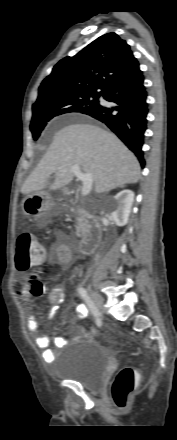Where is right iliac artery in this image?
Listing matches in <instances>:
<instances>
[{"label":"right iliac artery","mask_w":177,"mask_h":440,"mask_svg":"<svg viewBox=\"0 0 177 440\" xmlns=\"http://www.w3.org/2000/svg\"><path fill=\"white\" fill-rule=\"evenodd\" d=\"M78 292H79L80 296L86 302V304H87L89 310L91 311V313L93 314V316L95 317V321H96L97 326L100 327L102 325V321L100 318L101 314H100L99 310L97 309V307L95 306L92 299L90 298L87 290L83 287H79Z\"/></svg>","instance_id":"obj_1"}]
</instances>
